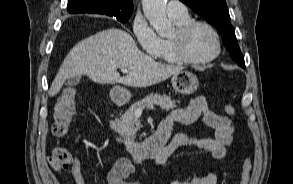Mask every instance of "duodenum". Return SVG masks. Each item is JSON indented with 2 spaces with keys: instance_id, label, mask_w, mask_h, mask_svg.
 Here are the masks:
<instances>
[{
  "instance_id": "1",
  "label": "duodenum",
  "mask_w": 293,
  "mask_h": 184,
  "mask_svg": "<svg viewBox=\"0 0 293 184\" xmlns=\"http://www.w3.org/2000/svg\"><path fill=\"white\" fill-rule=\"evenodd\" d=\"M113 100L117 105H123L126 102V99L118 94L114 95ZM108 128L112 130L111 125H108ZM170 134L171 124L163 120L155 133L142 142L127 141L118 135L114 137L133 160L144 161L158 157L168 148Z\"/></svg>"
}]
</instances>
